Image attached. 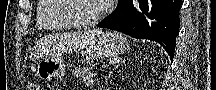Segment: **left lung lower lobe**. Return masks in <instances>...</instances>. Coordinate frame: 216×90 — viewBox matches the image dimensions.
Returning a JSON list of instances; mask_svg holds the SVG:
<instances>
[{
  "mask_svg": "<svg viewBox=\"0 0 216 90\" xmlns=\"http://www.w3.org/2000/svg\"><path fill=\"white\" fill-rule=\"evenodd\" d=\"M181 5L182 0H119L118 8L97 26L156 41L172 60Z\"/></svg>",
  "mask_w": 216,
  "mask_h": 90,
  "instance_id": "left-lung-lower-lobe-1",
  "label": "left lung lower lobe"
}]
</instances>
